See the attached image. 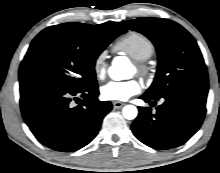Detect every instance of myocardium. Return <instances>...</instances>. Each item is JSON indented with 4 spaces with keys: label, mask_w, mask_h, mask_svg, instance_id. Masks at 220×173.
<instances>
[{
    "label": "myocardium",
    "mask_w": 220,
    "mask_h": 173,
    "mask_svg": "<svg viewBox=\"0 0 220 173\" xmlns=\"http://www.w3.org/2000/svg\"><path fill=\"white\" fill-rule=\"evenodd\" d=\"M136 72L142 77L149 78L152 74V68L149 63L144 61H135L134 62Z\"/></svg>",
    "instance_id": "myocardium-1"
}]
</instances>
